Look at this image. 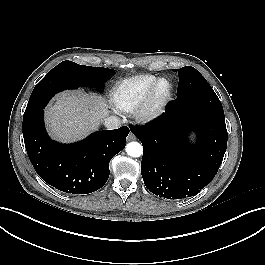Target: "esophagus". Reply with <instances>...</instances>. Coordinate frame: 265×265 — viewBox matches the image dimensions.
Listing matches in <instances>:
<instances>
[{"mask_svg": "<svg viewBox=\"0 0 265 265\" xmlns=\"http://www.w3.org/2000/svg\"><path fill=\"white\" fill-rule=\"evenodd\" d=\"M127 139H128V141L135 140V136H134L132 133H130V134L128 135Z\"/></svg>", "mask_w": 265, "mask_h": 265, "instance_id": "34e87169", "label": "esophagus"}]
</instances>
